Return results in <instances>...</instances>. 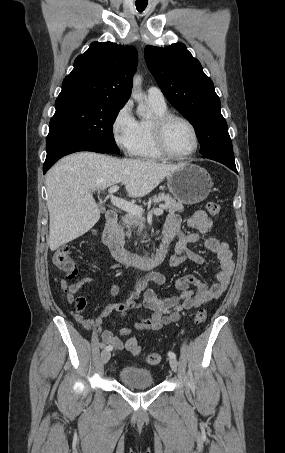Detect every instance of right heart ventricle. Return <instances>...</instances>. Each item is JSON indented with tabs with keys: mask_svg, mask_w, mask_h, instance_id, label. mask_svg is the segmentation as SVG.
<instances>
[{
	"mask_svg": "<svg viewBox=\"0 0 285 453\" xmlns=\"http://www.w3.org/2000/svg\"><path fill=\"white\" fill-rule=\"evenodd\" d=\"M153 116L151 118H141L136 122L135 139L132 155L142 159L158 160L164 156L157 149L152 132V119L155 116L167 113L166 105H158L149 102Z\"/></svg>",
	"mask_w": 285,
	"mask_h": 453,
	"instance_id": "1",
	"label": "right heart ventricle"
}]
</instances>
